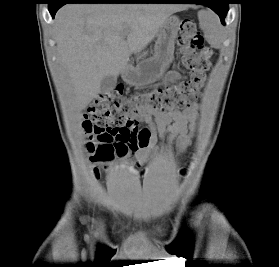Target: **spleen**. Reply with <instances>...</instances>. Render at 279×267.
<instances>
[{
  "instance_id": "obj_1",
  "label": "spleen",
  "mask_w": 279,
  "mask_h": 267,
  "mask_svg": "<svg viewBox=\"0 0 279 267\" xmlns=\"http://www.w3.org/2000/svg\"><path fill=\"white\" fill-rule=\"evenodd\" d=\"M199 20L209 43L214 47H219L221 44V31L216 15L209 10H204L200 12Z\"/></svg>"
}]
</instances>
